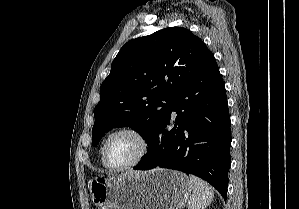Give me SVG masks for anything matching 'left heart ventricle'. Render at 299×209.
I'll use <instances>...</instances> for the list:
<instances>
[{
	"label": "left heart ventricle",
	"mask_w": 299,
	"mask_h": 209,
	"mask_svg": "<svg viewBox=\"0 0 299 209\" xmlns=\"http://www.w3.org/2000/svg\"><path fill=\"white\" fill-rule=\"evenodd\" d=\"M140 144L130 134H120L112 138L107 149V162L112 166H122L131 162L139 153Z\"/></svg>",
	"instance_id": "1"
}]
</instances>
